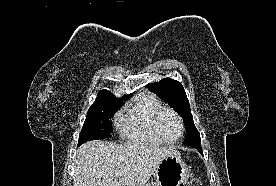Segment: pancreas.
Segmentation results:
<instances>
[{"mask_svg":"<svg viewBox=\"0 0 276 186\" xmlns=\"http://www.w3.org/2000/svg\"><path fill=\"white\" fill-rule=\"evenodd\" d=\"M143 186H156L155 183H149V184H146V185H143Z\"/></svg>","mask_w":276,"mask_h":186,"instance_id":"cf45deb5","label":"pancreas"}]
</instances>
